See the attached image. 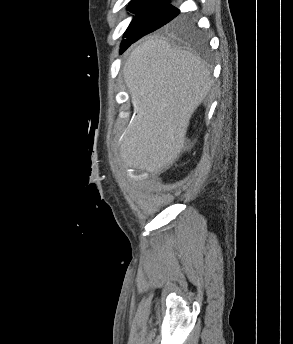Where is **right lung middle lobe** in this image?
<instances>
[{
	"label": "right lung middle lobe",
	"mask_w": 293,
	"mask_h": 344,
	"mask_svg": "<svg viewBox=\"0 0 293 344\" xmlns=\"http://www.w3.org/2000/svg\"><path fill=\"white\" fill-rule=\"evenodd\" d=\"M129 10L136 14L129 25L121 44L124 51L130 44L163 26L180 35L183 39L202 45L203 37L186 19L177 18L179 10L172 5L160 3L133 4L130 3Z\"/></svg>",
	"instance_id": "right-lung-middle-lobe-1"
}]
</instances>
